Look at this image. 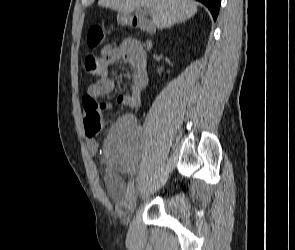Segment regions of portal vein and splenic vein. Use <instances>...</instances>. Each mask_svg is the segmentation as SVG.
I'll return each mask as SVG.
<instances>
[{"mask_svg": "<svg viewBox=\"0 0 295 250\" xmlns=\"http://www.w3.org/2000/svg\"><path fill=\"white\" fill-rule=\"evenodd\" d=\"M147 9H148V12H149L150 14L153 13V9H152L151 7H147Z\"/></svg>", "mask_w": 295, "mask_h": 250, "instance_id": "18ae733b", "label": "portal vein and splenic vein"}]
</instances>
